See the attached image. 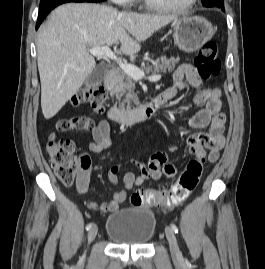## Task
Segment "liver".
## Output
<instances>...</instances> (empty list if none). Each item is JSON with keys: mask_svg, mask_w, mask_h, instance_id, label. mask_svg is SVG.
I'll use <instances>...</instances> for the list:
<instances>
[{"mask_svg": "<svg viewBox=\"0 0 265 269\" xmlns=\"http://www.w3.org/2000/svg\"><path fill=\"white\" fill-rule=\"evenodd\" d=\"M174 19L170 15L119 12L99 4L57 7L37 37L44 117L55 116L95 69L89 49L120 44L123 54L133 55L140 51L141 42Z\"/></svg>", "mask_w": 265, "mask_h": 269, "instance_id": "obj_1", "label": "liver"}]
</instances>
